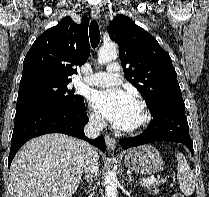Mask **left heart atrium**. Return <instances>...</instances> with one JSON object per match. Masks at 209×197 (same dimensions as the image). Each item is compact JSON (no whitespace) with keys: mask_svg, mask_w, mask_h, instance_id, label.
Listing matches in <instances>:
<instances>
[{"mask_svg":"<svg viewBox=\"0 0 209 197\" xmlns=\"http://www.w3.org/2000/svg\"><path fill=\"white\" fill-rule=\"evenodd\" d=\"M92 106L115 127L128 128L138 103L128 92L118 88L97 91L91 99Z\"/></svg>","mask_w":209,"mask_h":197,"instance_id":"left-heart-atrium-1","label":"left heart atrium"}]
</instances>
